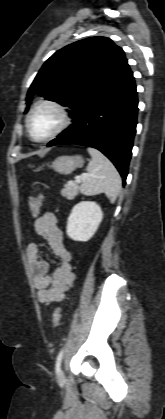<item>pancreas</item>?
<instances>
[{
	"mask_svg": "<svg viewBox=\"0 0 165 419\" xmlns=\"http://www.w3.org/2000/svg\"><path fill=\"white\" fill-rule=\"evenodd\" d=\"M79 193V186L77 183L66 184L61 190V195L68 200H73Z\"/></svg>",
	"mask_w": 165,
	"mask_h": 419,
	"instance_id": "obj_1",
	"label": "pancreas"
}]
</instances>
